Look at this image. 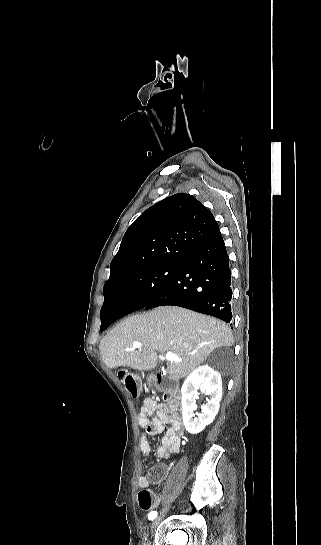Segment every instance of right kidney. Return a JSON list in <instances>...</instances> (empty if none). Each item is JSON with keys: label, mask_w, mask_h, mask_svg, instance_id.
Wrapping results in <instances>:
<instances>
[{"label": "right kidney", "mask_w": 321, "mask_h": 545, "mask_svg": "<svg viewBox=\"0 0 321 545\" xmlns=\"http://www.w3.org/2000/svg\"><path fill=\"white\" fill-rule=\"evenodd\" d=\"M198 387L204 395H209L206 405L202 407V413H194L197 409L194 395H197ZM181 393L182 417L185 429L191 435H197L207 425L213 423L219 411L222 399L221 375L218 371L211 369L209 365L198 367L185 379Z\"/></svg>", "instance_id": "1"}]
</instances>
